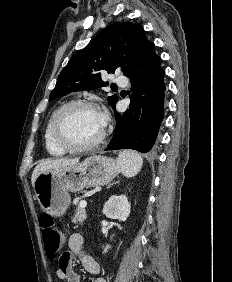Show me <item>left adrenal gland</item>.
I'll return each mask as SVG.
<instances>
[{"label": "left adrenal gland", "mask_w": 232, "mask_h": 282, "mask_svg": "<svg viewBox=\"0 0 232 282\" xmlns=\"http://www.w3.org/2000/svg\"><path fill=\"white\" fill-rule=\"evenodd\" d=\"M117 183H119V182H116L115 184H117ZM112 185H114V183H113V184H111V185H109V187H108V188H110Z\"/></svg>", "instance_id": "1"}]
</instances>
